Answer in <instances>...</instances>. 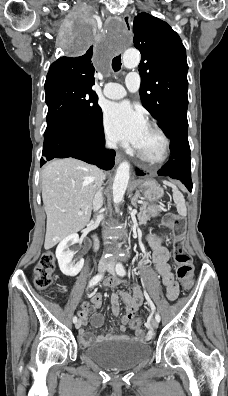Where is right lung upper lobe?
I'll use <instances>...</instances> for the list:
<instances>
[{"label":"right lung upper lobe","mask_w":228,"mask_h":396,"mask_svg":"<svg viewBox=\"0 0 228 396\" xmlns=\"http://www.w3.org/2000/svg\"><path fill=\"white\" fill-rule=\"evenodd\" d=\"M92 46L77 57H61L51 64L46 79L68 78L93 86L95 68L92 64Z\"/></svg>","instance_id":"obj_1"}]
</instances>
